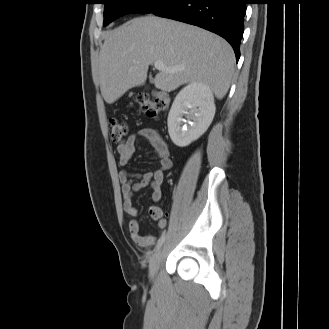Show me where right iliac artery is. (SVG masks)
<instances>
[{"label":"right iliac artery","instance_id":"obj_1","mask_svg":"<svg viewBox=\"0 0 329 329\" xmlns=\"http://www.w3.org/2000/svg\"><path fill=\"white\" fill-rule=\"evenodd\" d=\"M164 240H165V234H163V235L158 239L157 244H156L155 249H154L155 251H157V250L161 247V245L163 244Z\"/></svg>","mask_w":329,"mask_h":329}]
</instances>
